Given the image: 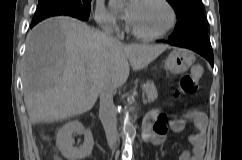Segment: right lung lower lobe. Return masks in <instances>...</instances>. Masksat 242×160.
<instances>
[{"label":"right lung lower lobe","mask_w":242,"mask_h":160,"mask_svg":"<svg viewBox=\"0 0 242 160\" xmlns=\"http://www.w3.org/2000/svg\"><path fill=\"white\" fill-rule=\"evenodd\" d=\"M36 24H37V23H32V24H31V27H33V26L36 25Z\"/></svg>","instance_id":"1"}]
</instances>
